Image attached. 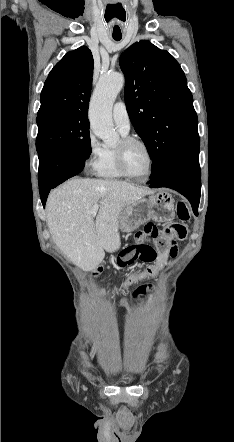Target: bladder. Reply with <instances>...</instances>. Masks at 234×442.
Returning <instances> with one entry per match:
<instances>
[{
	"instance_id": "obj_1",
	"label": "bladder",
	"mask_w": 234,
	"mask_h": 442,
	"mask_svg": "<svg viewBox=\"0 0 234 442\" xmlns=\"http://www.w3.org/2000/svg\"><path fill=\"white\" fill-rule=\"evenodd\" d=\"M135 379L136 377L134 374H127L117 379V382L120 384H131L135 381Z\"/></svg>"
}]
</instances>
